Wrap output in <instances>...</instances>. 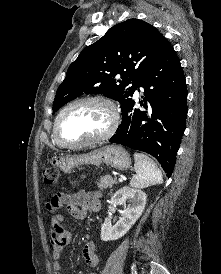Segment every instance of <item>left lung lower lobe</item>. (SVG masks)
<instances>
[{
	"label": "left lung lower lobe",
	"instance_id": "1",
	"mask_svg": "<svg viewBox=\"0 0 221 274\" xmlns=\"http://www.w3.org/2000/svg\"><path fill=\"white\" fill-rule=\"evenodd\" d=\"M137 87L145 91L140 101L144 109L134 108L131 99L110 142L151 154L170 177L188 111L185 76L171 45L144 71Z\"/></svg>",
	"mask_w": 221,
	"mask_h": 274
}]
</instances>
